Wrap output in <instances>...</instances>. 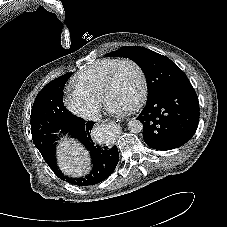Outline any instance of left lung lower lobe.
<instances>
[{"label":"left lung lower lobe","instance_id":"left-lung-lower-lobe-1","mask_svg":"<svg viewBox=\"0 0 227 227\" xmlns=\"http://www.w3.org/2000/svg\"><path fill=\"white\" fill-rule=\"evenodd\" d=\"M137 119L143 124V139L151 148L171 150L188 142L199 122V102L190 83L148 98Z\"/></svg>","mask_w":227,"mask_h":227}]
</instances>
